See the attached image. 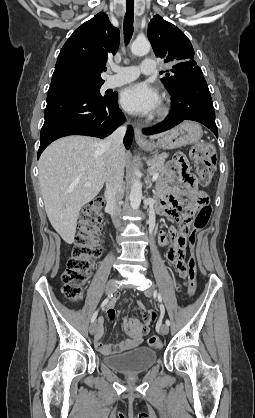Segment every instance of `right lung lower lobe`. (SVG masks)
I'll return each instance as SVG.
<instances>
[{
    "label": "right lung lower lobe",
    "instance_id": "98d812e1",
    "mask_svg": "<svg viewBox=\"0 0 255 418\" xmlns=\"http://www.w3.org/2000/svg\"><path fill=\"white\" fill-rule=\"evenodd\" d=\"M117 99V94L103 97L87 91H48L38 158L51 142L64 136L104 138L110 135L125 120ZM132 139L133 129L129 127L124 137L127 149Z\"/></svg>",
    "mask_w": 255,
    "mask_h": 418
}]
</instances>
